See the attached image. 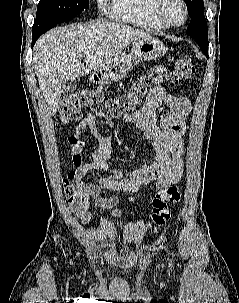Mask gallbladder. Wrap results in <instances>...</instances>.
Wrapping results in <instances>:
<instances>
[{
	"instance_id": "gallbladder-1",
	"label": "gallbladder",
	"mask_w": 239,
	"mask_h": 303,
	"mask_svg": "<svg viewBox=\"0 0 239 303\" xmlns=\"http://www.w3.org/2000/svg\"><path fill=\"white\" fill-rule=\"evenodd\" d=\"M77 87L75 80L64 81L61 85V92L63 94H68L73 92Z\"/></svg>"
}]
</instances>
